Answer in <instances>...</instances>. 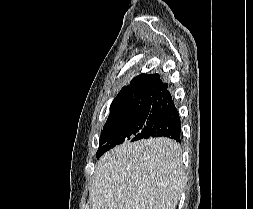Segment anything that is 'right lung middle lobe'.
Listing matches in <instances>:
<instances>
[{"instance_id":"dd1d6c3e","label":"right lung middle lobe","mask_w":253,"mask_h":209,"mask_svg":"<svg viewBox=\"0 0 253 209\" xmlns=\"http://www.w3.org/2000/svg\"><path fill=\"white\" fill-rule=\"evenodd\" d=\"M159 111L151 107L139 108L105 123L100 136L97 158L124 141L141 139L157 121Z\"/></svg>"}]
</instances>
